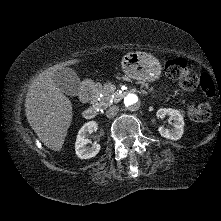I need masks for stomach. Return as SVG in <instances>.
<instances>
[{"label": "stomach", "instance_id": "stomach-1", "mask_svg": "<svg viewBox=\"0 0 221 221\" xmlns=\"http://www.w3.org/2000/svg\"><path fill=\"white\" fill-rule=\"evenodd\" d=\"M121 65L125 75L138 81L154 82L161 76L160 62L146 52L127 53L123 57Z\"/></svg>", "mask_w": 221, "mask_h": 221}]
</instances>
